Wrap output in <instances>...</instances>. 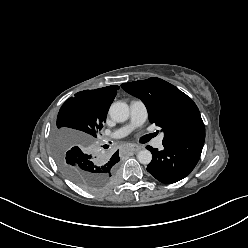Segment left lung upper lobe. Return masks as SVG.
I'll list each match as a JSON object with an SVG mask.
<instances>
[{
  "label": "left lung upper lobe",
  "instance_id": "5c2ea615",
  "mask_svg": "<svg viewBox=\"0 0 248 248\" xmlns=\"http://www.w3.org/2000/svg\"><path fill=\"white\" fill-rule=\"evenodd\" d=\"M121 87L146 105L150 122L164 132L163 143L189 134L205 133L196 104L172 84L154 77L124 83Z\"/></svg>",
  "mask_w": 248,
  "mask_h": 248
}]
</instances>
